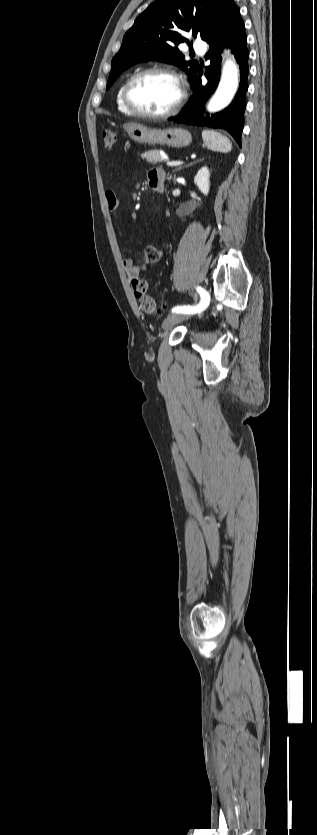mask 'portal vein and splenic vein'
<instances>
[{
  "instance_id": "18ae733b",
  "label": "portal vein and splenic vein",
  "mask_w": 317,
  "mask_h": 835,
  "mask_svg": "<svg viewBox=\"0 0 317 835\" xmlns=\"http://www.w3.org/2000/svg\"><path fill=\"white\" fill-rule=\"evenodd\" d=\"M181 164H182V162H180V161H168V162H166L167 167L179 166Z\"/></svg>"
}]
</instances>
